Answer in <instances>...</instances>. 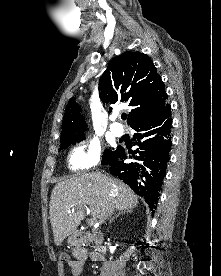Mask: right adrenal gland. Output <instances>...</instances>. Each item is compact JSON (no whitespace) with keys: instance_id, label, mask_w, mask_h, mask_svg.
Here are the masks:
<instances>
[{"instance_id":"1","label":"right adrenal gland","mask_w":221,"mask_h":276,"mask_svg":"<svg viewBox=\"0 0 221 276\" xmlns=\"http://www.w3.org/2000/svg\"><path fill=\"white\" fill-rule=\"evenodd\" d=\"M131 212H132L131 209H127V210H125V211H122V212L118 213L115 217H113V218L111 219L110 224H111L116 218L120 217V215H126V214H129V213H131Z\"/></svg>"}]
</instances>
